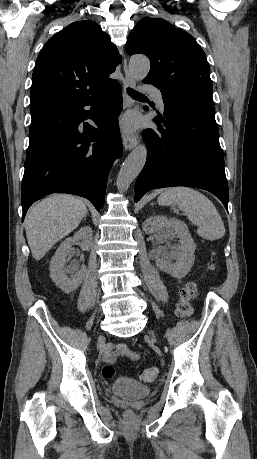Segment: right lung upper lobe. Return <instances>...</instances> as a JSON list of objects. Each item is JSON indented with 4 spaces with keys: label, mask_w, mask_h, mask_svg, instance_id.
I'll return each mask as SVG.
<instances>
[{
    "label": "right lung upper lobe",
    "mask_w": 257,
    "mask_h": 459,
    "mask_svg": "<svg viewBox=\"0 0 257 459\" xmlns=\"http://www.w3.org/2000/svg\"><path fill=\"white\" fill-rule=\"evenodd\" d=\"M120 62L116 46L97 23H71L47 41L37 58L30 112L102 94L116 83L108 76Z\"/></svg>",
    "instance_id": "cb5924a9"
}]
</instances>
